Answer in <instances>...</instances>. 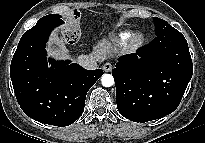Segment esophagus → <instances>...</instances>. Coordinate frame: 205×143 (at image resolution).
<instances>
[{"mask_svg": "<svg viewBox=\"0 0 205 143\" xmlns=\"http://www.w3.org/2000/svg\"><path fill=\"white\" fill-rule=\"evenodd\" d=\"M112 64L111 63H105L102 67V69L105 71V72H110L112 70Z\"/></svg>", "mask_w": 205, "mask_h": 143, "instance_id": "obj_1", "label": "esophagus"}]
</instances>
